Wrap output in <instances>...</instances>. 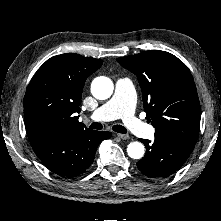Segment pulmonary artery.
<instances>
[{"instance_id": "1", "label": "pulmonary artery", "mask_w": 221, "mask_h": 221, "mask_svg": "<svg viewBox=\"0 0 221 221\" xmlns=\"http://www.w3.org/2000/svg\"><path fill=\"white\" fill-rule=\"evenodd\" d=\"M135 90L129 78L116 81L112 98L96 109L90 116L94 121H109L121 118L125 126L135 135L151 138L154 128L135 116Z\"/></svg>"}]
</instances>
